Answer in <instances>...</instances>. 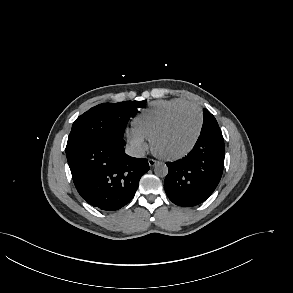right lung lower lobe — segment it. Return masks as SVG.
<instances>
[{
  "instance_id": "98d812e1",
  "label": "right lung lower lobe",
  "mask_w": 293,
  "mask_h": 293,
  "mask_svg": "<svg viewBox=\"0 0 293 293\" xmlns=\"http://www.w3.org/2000/svg\"><path fill=\"white\" fill-rule=\"evenodd\" d=\"M123 137L93 139L66 153L73 182L81 197L101 210H118L134 197L147 159L124 151Z\"/></svg>"
}]
</instances>
